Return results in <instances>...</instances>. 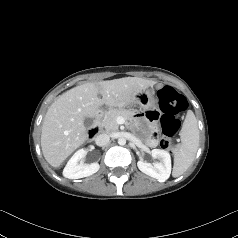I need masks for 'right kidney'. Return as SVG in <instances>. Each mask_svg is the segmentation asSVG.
<instances>
[{
    "mask_svg": "<svg viewBox=\"0 0 238 238\" xmlns=\"http://www.w3.org/2000/svg\"><path fill=\"white\" fill-rule=\"evenodd\" d=\"M85 155L86 151L84 149L76 151L65 166L63 176L69 179H79L96 173L100 168L97 162L89 165L79 164V161H81Z\"/></svg>",
    "mask_w": 238,
    "mask_h": 238,
    "instance_id": "ca27d5eb",
    "label": "right kidney"
}]
</instances>
